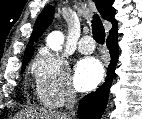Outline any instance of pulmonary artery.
<instances>
[{"mask_svg": "<svg viewBox=\"0 0 142 119\" xmlns=\"http://www.w3.org/2000/svg\"><path fill=\"white\" fill-rule=\"evenodd\" d=\"M78 50L82 54H91L95 50V44L90 36H84L78 43Z\"/></svg>", "mask_w": 142, "mask_h": 119, "instance_id": "1", "label": "pulmonary artery"}]
</instances>
